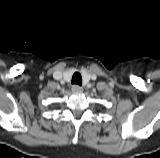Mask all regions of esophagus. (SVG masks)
<instances>
[{
  "label": "esophagus",
  "instance_id": "34e87169",
  "mask_svg": "<svg viewBox=\"0 0 160 158\" xmlns=\"http://www.w3.org/2000/svg\"><path fill=\"white\" fill-rule=\"evenodd\" d=\"M82 90H83V88L80 85H73V87H72V92H74V93L81 92Z\"/></svg>",
  "mask_w": 160,
  "mask_h": 158
}]
</instances>
